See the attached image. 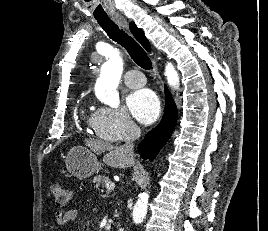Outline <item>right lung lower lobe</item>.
<instances>
[{
  "instance_id": "obj_1",
  "label": "right lung lower lobe",
  "mask_w": 268,
  "mask_h": 231,
  "mask_svg": "<svg viewBox=\"0 0 268 231\" xmlns=\"http://www.w3.org/2000/svg\"><path fill=\"white\" fill-rule=\"evenodd\" d=\"M165 110L161 122L152 129L139 144L138 150L143 159L152 161L172 135L178 119L177 107L165 87Z\"/></svg>"
}]
</instances>
